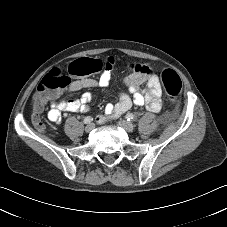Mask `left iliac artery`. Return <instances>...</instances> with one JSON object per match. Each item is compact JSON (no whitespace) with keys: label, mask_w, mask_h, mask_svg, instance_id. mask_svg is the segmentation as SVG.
Here are the masks:
<instances>
[{"label":"left iliac artery","mask_w":227,"mask_h":227,"mask_svg":"<svg viewBox=\"0 0 227 227\" xmlns=\"http://www.w3.org/2000/svg\"><path fill=\"white\" fill-rule=\"evenodd\" d=\"M126 119L127 121H132V120H135L136 117L132 113H129L126 115Z\"/></svg>","instance_id":"obj_1"}]
</instances>
